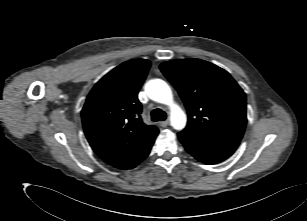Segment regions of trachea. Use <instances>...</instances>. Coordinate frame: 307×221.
Wrapping results in <instances>:
<instances>
[{
	"instance_id": "1",
	"label": "trachea",
	"mask_w": 307,
	"mask_h": 221,
	"mask_svg": "<svg viewBox=\"0 0 307 221\" xmlns=\"http://www.w3.org/2000/svg\"><path fill=\"white\" fill-rule=\"evenodd\" d=\"M152 121H163L166 119V113L161 109H154L151 112Z\"/></svg>"
}]
</instances>
